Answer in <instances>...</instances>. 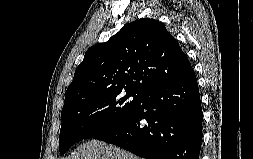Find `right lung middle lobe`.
<instances>
[{
    "instance_id": "dd1d6c3e",
    "label": "right lung middle lobe",
    "mask_w": 253,
    "mask_h": 159,
    "mask_svg": "<svg viewBox=\"0 0 253 159\" xmlns=\"http://www.w3.org/2000/svg\"><path fill=\"white\" fill-rule=\"evenodd\" d=\"M142 98V94L134 91H108L64 104L61 112L60 153L64 154L82 139L94 137L123 122L140 106Z\"/></svg>"
}]
</instances>
